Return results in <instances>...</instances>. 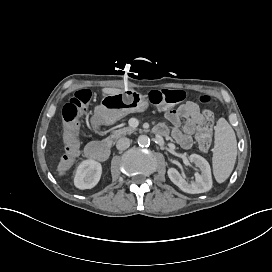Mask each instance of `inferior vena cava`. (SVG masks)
<instances>
[{"label":"inferior vena cava","mask_w":272,"mask_h":272,"mask_svg":"<svg viewBox=\"0 0 272 272\" xmlns=\"http://www.w3.org/2000/svg\"><path fill=\"white\" fill-rule=\"evenodd\" d=\"M130 146V140L127 137H122L117 141V149L125 150Z\"/></svg>","instance_id":"602c4592"}]
</instances>
